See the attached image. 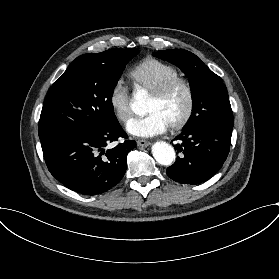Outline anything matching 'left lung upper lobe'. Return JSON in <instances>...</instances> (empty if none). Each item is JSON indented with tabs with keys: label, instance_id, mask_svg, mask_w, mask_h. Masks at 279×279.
<instances>
[{
	"label": "left lung upper lobe",
	"instance_id": "left-lung-upper-lobe-1",
	"mask_svg": "<svg viewBox=\"0 0 279 279\" xmlns=\"http://www.w3.org/2000/svg\"><path fill=\"white\" fill-rule=\"evenodd\" d=\"M153 55L178 66L189 79L193 108L185 129L205 123L233 127L226 86L196 55L183 49L160 50Z\"/></svg>",
	"mask_w": 279,
	"mask_h": 279
}]
</instances>
